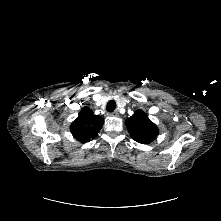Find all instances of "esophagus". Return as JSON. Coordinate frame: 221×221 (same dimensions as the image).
<instances>
[{"label": "esophagus", "mask_w": 221, "mask_h": 221, "mask_svg": "<svg viewBox=\"0 0 221 221\" xmlns=\"http://www.w3.org/2000/svg\"><path fill=\"white\" fill-rule=\"evenodd\" d=\"M111 116H118V111H114L110 113Z\"/></svg>", "instance_id": "obj_1"}]
</instances>
